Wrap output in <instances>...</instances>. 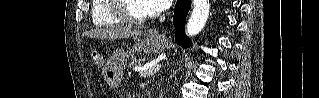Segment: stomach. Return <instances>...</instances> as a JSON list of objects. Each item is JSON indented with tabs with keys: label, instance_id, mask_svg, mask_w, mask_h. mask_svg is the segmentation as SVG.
Returning a JSON list of instances; mask_svg holds the SVG:
<instances>
[{
	"label": "stomach",
	"instance_id": "1",
	"mask_svg": "<svg viewBox=\"0 0 319 98\" xmlns=\"http://www.w3.org/2000/svg\"><path fill=\"white\" fill-rule=\"evenodd\" d=\"M168 46V41L161 35L148 32L146 37L142 40H139L132 48H128L127 51H118L117 59L114 63L104 69L103 76L106 83L114 88L118 86L121 82L122 72L126 67L127 60L129 57L137 51H144L147 53H160Z\"/></svg>",
	"mask_w": 319,
	"mask_h": 98
}]
</instances>
